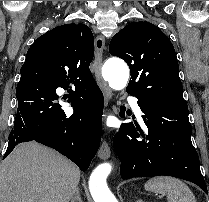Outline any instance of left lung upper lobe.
Segmentation results:
<instances>
[{
  "instance_id": "obj_1",
  "label": "left lung upper lobe",
  "mask_w": 209,
  "mask_h": 202,
  "mask_svg": "<svg viewBox=\"0 0 209 202\" xmlns=\"http://www.w3.org/2000/svg\"><path fill=\"white\" fill-rule=\"evenodd\" d=\"M109 52L130 68L126 89L130 95L160 105L188 108L174 47L157 26L146 21L128 24L112 38Z\"/></svg>"
}]
</instances>
